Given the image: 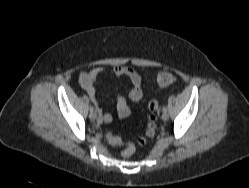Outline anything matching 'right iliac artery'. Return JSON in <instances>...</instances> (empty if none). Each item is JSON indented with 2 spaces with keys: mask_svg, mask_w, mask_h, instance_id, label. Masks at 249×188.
Wrapping results in <instances>:
<instances>
[{
  "mask_svg": "<svg viewBox=\"0 0 249 188\" xmlns=\"http://www.w3.org/2000/svg\"><path fill=\"white\" fill-rule=\"evenodd\" d=\"M93 111H94V107L90 106V112H93Z\"/></svg>",
  "mask_w": 249,
  "mask_h": 188,
  "instance_id": "1",
  "label": "right iliac artery"
}]
</instances>
